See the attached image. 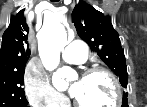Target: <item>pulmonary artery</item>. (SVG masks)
<instances>
[{
  "label": "pulmonary artery",
  "mask_w": 147,
  "mask_h": 107,
  "mask_svg": "<svg viewBox=\"0 0 147 107\" xmlns=\"http://www.w3.org/2000/svg\"><path fill=\"white\" fill-rule=\"evenodd\" d=\"M88 47L79 40H74L62 52V58L65 62L71 64L84 63L87 60Z\"/></svg>",
  "instance_id": "obj_1"
}]
</instances>
